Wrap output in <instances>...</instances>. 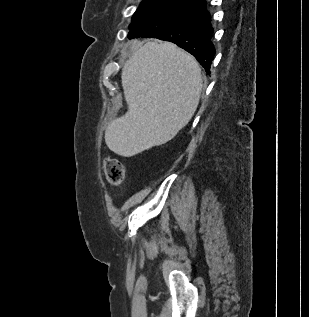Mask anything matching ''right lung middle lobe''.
I'll return each instance as SVG.
<instances>
[{"instance_id": "dd1d6c3e", "label": "right lung middle lobe", "mask_w": 309, "mask_h": 317, "mask_svg": "<svg viewBox=\"0 0 309 317\" xmlns=\"http://www.w3.org/2000/svg\"><path fill=\"white\" fill-rule=\"evenodd\" d=\"M176 1L177 0H143L140 7L134 13L132 17V24H130L129 28H131L138 20H140L144 16Z\"/></svg>"}]
</instances>
